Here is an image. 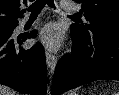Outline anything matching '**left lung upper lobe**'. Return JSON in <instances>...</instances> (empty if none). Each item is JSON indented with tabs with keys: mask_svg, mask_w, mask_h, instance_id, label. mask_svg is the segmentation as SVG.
Here are the masks:
<instances>
[{
	"mask_svg": "<svg viewBox=\"0 0 119 95\" xmlns=\"http://www.w3.org/2000/svg\"><path fill=\"white\" fill-rule=\"evenodd\" d=\"M82 4L81 14L89 24H72L79 34L92 31L119 32V0H75Z\"/></svg>",
	"mask_w": 119,
	"mask_h": 95,
	"instance_id": "1",
	"label": "left lung upper lobe"
}]
</instances>
